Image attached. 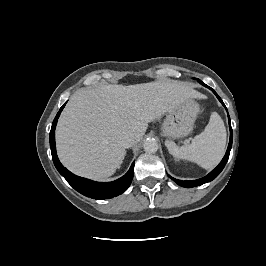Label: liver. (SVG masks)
Segmentation results:
<instances>
[{
	"label": "liver",
	"instance_id": "liver-1",
	"mask_svg": "<svg viewBox=\"0 0 266 266\" xmlns=\"http://www.w3.org/2000/svg\"><path fill=\"white\" fill-rule=\"evenodd\" d=\"M199 97L190 85L175 80L80 89L71 96L58 121L60 161L79 176L105 179L124 160V135L132 134L135 143L139 142L149 122Z\"/></svg>",
	"mask_w": 266,
	"mask_h": 266
}]
</instances>
